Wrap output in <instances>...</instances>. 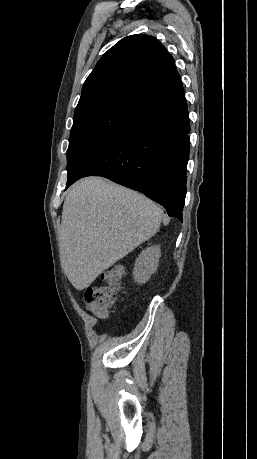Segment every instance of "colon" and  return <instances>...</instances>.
Returning <instances> with one entry per match:
<instances>
[{"instance_id": "5ec220e1", "label": "colon", "mask_w": 257, "mask_h": 459, "mask_svg": "<svg viewBox=\"0 0 257 459\" xmlns=\"http://www.w3.org/2000/svg\"><path fill=\"white\" fill-rule=\"evenodd\" d=\"M123 270L114 266L105 273V283L91 286L86 289L84 302L93 314L104 317L115 304L121 285Z\"/></svg>"}]
</instances>
